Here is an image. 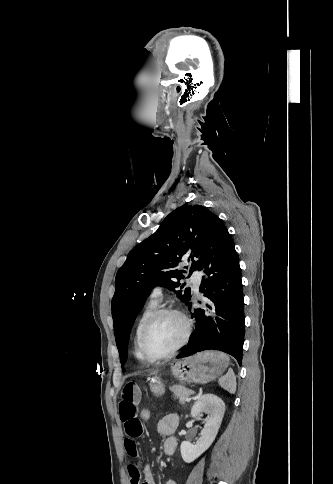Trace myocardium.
<instances>
[{
	"label": "myocardium",
	"mask_w": 333,
	"mask_h": 484,
	"mask_svg": "<svg viewBox=\"0 0 333 484\" xmlns=\"http://www.w3.org/2000/svg\"><path fill=\"white\" fill-rule=\"evenodd\" d=\"M164 315H176V316H178L184 324V329H185L184 335H183L181 341L177 344V346H175L170 352H168V353H166L162 356L154 357V356L150 355L148 353L147 349H146V340H147V336H148L149 330L151 329L152 325L160 317H162ZM191 334H192V322L189 319V317L182 310L175 308V307L159 308L148 318L145 325L143 326L141 336H140V351H141L143 357L148 362H151V363L161 362V361L167 360V359L173 357L174 355H176L188 343V341L191 337Z\"/></svg>",
	"instance_id": "myocardium-1"
}]
</instances>
